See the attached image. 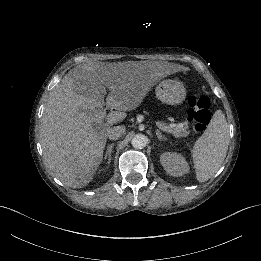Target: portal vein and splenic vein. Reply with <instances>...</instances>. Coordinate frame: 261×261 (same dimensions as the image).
Here are the masks:
<instances>
[{
	"instance_id": "portal-vein-and-splenic-vein-1",
	"label": "portal vein and splenic vein",
	"mask_w": 261,
	"mask_h": 261,
	"mask_svg": "<svg viewBox=\"0 0 261 261\" xmlns=\"http://www.w3.org/2000/svg\"><path fill=\"white\" fill-rule=\"evenodd\" d=\"M182 126H183V124H180V125H179V127H182ZM158 127H159L160 129H162V130L168 132V133H170L171 130H172L171 127L168 128L167 126L163 125L162 123H158ZM177 143H178V140H177V139H174V140L171 141V144H172V145H175V144H177Z\"/></svg>"
}]
</instances>
